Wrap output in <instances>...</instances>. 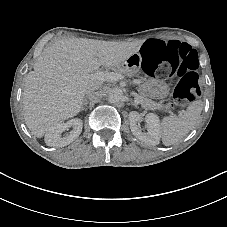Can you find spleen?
Returning <instances> with one entry per match:
<instances>
[{
    "instance_id": "spleen-1",
    "label": "spleen",
    "mask_w": 227,
    "mask_h": 227,
    "mask_svg": "<svg viewBox=\"0 0 227 227\" xmlns=\"http://www.w3.org/2000/svg\"><path fill=\"white\" fill-rule=\"evenodd\" d=\"M202 111V104L194 101L179 115H172L163 120L162 139L166 146L174 145L196 125Z\"/></svg>"
}]
</instances>
